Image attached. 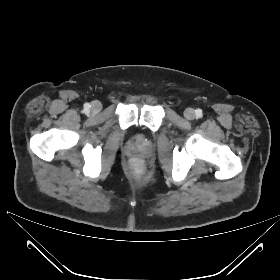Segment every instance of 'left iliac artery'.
<instances>
[{"mask_svg": "<svg viewBox=\"0 0 280 280\" xmlns=\"http://www.w3.org/2000/svg\"><path fill=\"white\" fill-rule=\"evenodd\" d=\"M196 114H197V116H201V114H202L201 110H196Z\"/></svg>", "mask_w": 280, "mask_h": 280, "instance_id": "1", "label": "left iliac artery"}]
</instances>
